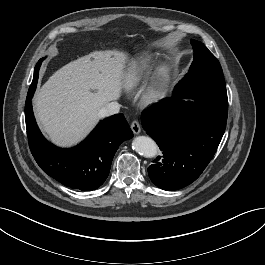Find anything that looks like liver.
Segmentation results:
<instances>
[{"instance_id": "1", "label": "liver", "mask_w": 265, "mask_h": 265, "mask_svg": "<svg viewBox=\"0 0 265 265\" xmlns=\"http://www.w3.org/2000/svg\"><path fill=\"white\" fill-rule=\"evenodd\" d=\"M127 56L95 51L57 70L34 97L36 118L56 145L79 143L95 127L99 111L121 96Z\"/></svg>"}]
</instances>
